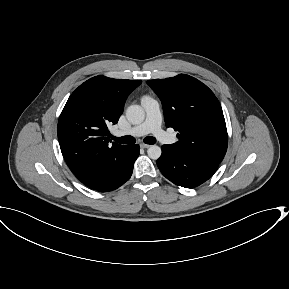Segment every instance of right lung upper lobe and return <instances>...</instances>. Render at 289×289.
Here are the masks:
<instances>
[{
    "instance_id": "1",
    "label": "right lung upper lobe",
    "mask_w": 289,
    "mask_h": 289,
    "mask_svg": "<svg viewBox=\"0 0 289 289\" xmlns=\"http://www.w3.org/2000/svg\"><path fill=\"white\" fill-rule=\"evenodd\" d=\"M140 80L95 76L69 97L58 121L62 155L86 186L103 184L114 172L128 145L109 146V124H116L128 95Z\"/></svg>"
}]
</instances>
